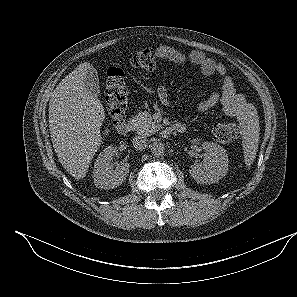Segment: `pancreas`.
Masks as SVG:
<instances>
[{"label": "pancreas", "mask_w": 297, "mask_h": 297, "mask_svg": "<svg viewBox=\"0 0 297 297\" xmlns=\"http://www.w3.org/2000/svg\"><path fill=\"white\" fill-rule=\"evenodd\" d=\"M130 122L134 125L135 131L143 135H151L161 128L153 121L151 114L146 111L133 116Z\"/></svg>", "instance_id": "1"}]
</instances>
